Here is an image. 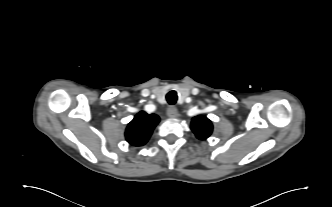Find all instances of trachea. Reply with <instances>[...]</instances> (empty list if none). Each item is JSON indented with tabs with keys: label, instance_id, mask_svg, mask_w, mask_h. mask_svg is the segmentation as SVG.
Listing matches in <instances>:
<instances>
[{
	"label": "trachea",
	"instance_id": "obj_1",
	"mask_svg": "<svg viewBox=\"0 0 332 207\" xmlns=\"http://www.w3.org/2000/svg\"><path fill=\"white\" fill-rule=\"evenodd\" d=\"M166 100L170 105H174L177 102V93L176 91H170L166 95Z\"/></svg>",
	"mask_w": 332,
	"mask_h": 207
}]
</instances>
